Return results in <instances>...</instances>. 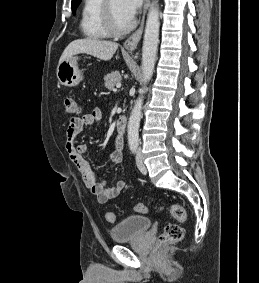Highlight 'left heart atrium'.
<instances>
[{"instance_id": "left-heart-atrium-1", "label": "left heart atrium", "mask_w": 259, "mask_h": 283, "mask_svg": "<svg viewBox=\"0 0 259 283\" xmlns=\"http://www.w3.org/2000/svg\"><path fill=\"white\" fill-rule=\"evenodd\" d=\"M141 3H142V0H121V6L123 9V12L130 19H133Z\"/></svg>"}]
</instances>
